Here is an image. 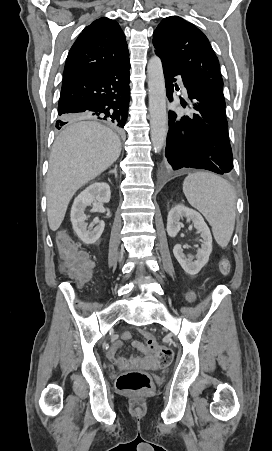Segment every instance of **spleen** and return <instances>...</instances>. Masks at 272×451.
<instances>
[{"instance_id": "obj_1", "label": "spleen", "mask_w": 272, "mask_h": 451, "mask_svg": "<svg viewBox=\"0 0 272 451\" xmlns=\"http://www.w3.org/2000/svg\"><path fill=\"white\" fill-rule=\"evenodd\" d=\"M183 192L189 204L199 210L212 226L217 243L226 247L233 233L236 216L235 194L229 182L209 172H196L185 178Z\"/></svg>"}]
</instances>
